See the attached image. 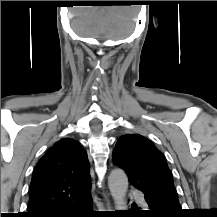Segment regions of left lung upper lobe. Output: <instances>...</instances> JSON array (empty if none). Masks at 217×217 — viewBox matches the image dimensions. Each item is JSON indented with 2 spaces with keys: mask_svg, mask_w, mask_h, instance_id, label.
I'll return each instance as SVG.
<instances>
[{
  "mask_svg": "<svg viewBox=\"0 0 217 217\" xmlns=\"http://www.w3.org/2000/svg\"><path fill=\"white\" fill-rule=\"evenodd\" d=\"M113 162L128 175L129 182L160 209L180 212L172 173L164 155L139 134L121 136L113 151Z\"/></svg>",
  "mask_w": 217,
  "mask_h": 217,
  "instance_id": "obj_1",
  "label": "left lung upper lobe"
}]
</instances>
